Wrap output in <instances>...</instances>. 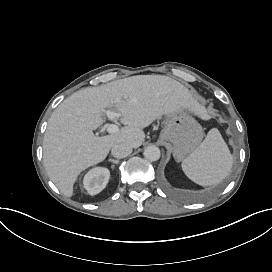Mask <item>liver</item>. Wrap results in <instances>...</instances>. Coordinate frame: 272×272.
Masks as SVG:
<instances>
[{
    "label": "liver",
    "instance_id": "6515ba94",
    "mask_svg": "<svg viewBox=\"0 0 272 272\" xmlns=\"http://www.w3.org/2000/svg\"><path fill=\"white\" fill-rule=\"evenodd\" d=\"M106 109L119 112L125 126L97 137L93 130L103 123ZM176 112L202 118L201 107L188 90L161 75H137L75 92L54 110L44 135L43 161L50 180L72 198L81 172L103 162L115 144L139 148L145 140L142 129Z\"/></svg>",
    "mask_w": 272,
    "mask_h": 272
}]
</instances>
